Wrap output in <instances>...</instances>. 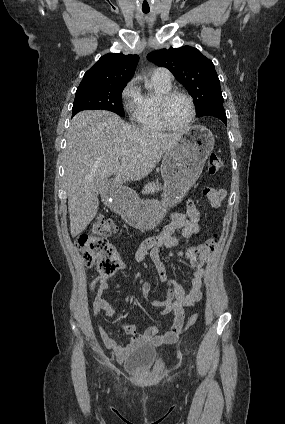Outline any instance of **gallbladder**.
<instances>
[{
    "instance_id": "obj_1",
    "label": "gallbladder",
    "mask_w": 285,
    "mask_h": 424,
    "mask_svg": "<svg viewBox=\"0 0 285 424\" xmlns=\"http://www.w3.org/2000/svg\"><path fill=\"white\" fill-rule=\"evenodd\" d=\"M111 183L110 180L104 179L99 181L98 185H97V191L102 194L104 191L105 186L109 185Z\"/></svg>"
}]
</instances>
